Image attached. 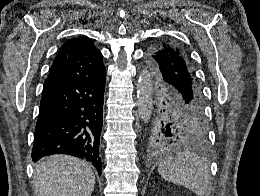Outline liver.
<instances>
[{"instance_id":"6515ba94","label":"liver","mask_w":260,"mask_h":196,"mask_svg":"<svg viewBox=\"0 0 260 196\" xmlns=\"http://www.w3.org/2000/svg\"><path fill=\"white\" fill-rule=\"evenodd\" d=\"M94 186L95 176L84 160L57 154L35 166L36 196H91Z\"/></svg>"}]
</instances>
